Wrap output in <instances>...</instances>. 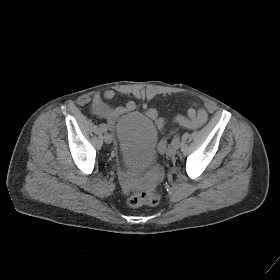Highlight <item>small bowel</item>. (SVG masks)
<instances>
[{"instance_id": "obj_1", "label": "small bowel", "mask_w": 280, "mask_h": 280, "mask_svg": "<svg viewBox=\"0 0 280 280\" xmlns=\"http://www.w3.org/2000/svg\"><path fill=\"white\" fill-rule=\"evenodd\" d=\"M116 96V92L112 89L106 90L104 93H97L94 95L91 102V113L97 117L103 118L108 125L112 127L116 119L124 113L135 109L133 101H127L123 106L113 107L107 101L112 100ZM146 115L155 120L156 126L163 130L166 125V120L159 117L158 112L154 108L146 110ZM208 119L206 109L202 107L193 106L189 108L184 115H177L173 121L187 129H197L203 126ZM159 148L163 151L166 148V138L162 139ZM126 189H130L133 185V178L125 175Z\"/></svg>"}]
</instances>
